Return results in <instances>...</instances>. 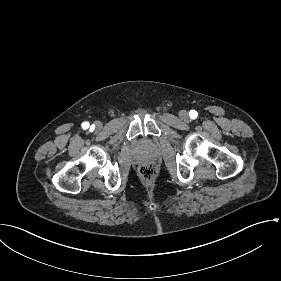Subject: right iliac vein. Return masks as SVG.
Instances as JSON below:
<instances>
[{
	"instance_id": "obj_1",
	"label": "right iliac vein",
	"mask_w": 281,
	"mask_h": 281,
	"mask_svg": "<svg viewBox=\"0 0 281 281\" xmlns=\"http://www.w3.org/2000/svg\"><path fill=\"white\" fill-rule=\"evenodd\" d=\"M96 127H97V128H100V123H96Z\"/></svg>"
}]
</instances>
